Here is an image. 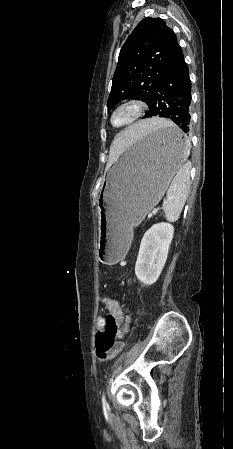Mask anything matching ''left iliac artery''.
<instances>
[{"label":"left iliac artery","instance_id":"1","mask_svg":"<svg viewBox=\"0 0 233 449\" xmlns=\"http://www.w3.org/2000/svg\"><path fill=\"white\" fill-rule=\"evenodd\" d=\"M102 404H103V407H106V400H105V395L104 394L102 396Z\"/></svg>","mask_w":233,"mask_h":449}]
</instances>
